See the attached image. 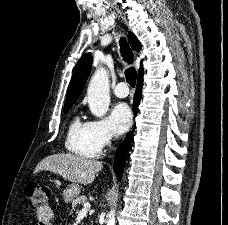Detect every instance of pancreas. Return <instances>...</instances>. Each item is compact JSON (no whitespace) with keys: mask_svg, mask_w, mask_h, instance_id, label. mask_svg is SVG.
Returning <instances> with one entry per match:
<instances>
[{"mask_svg":"<svg viewBox=\"0 0 228 225\" xmlns=\"http://www.w3.org/2000/svg\"><path fill=\"white\" fill-rule=\"evenodd\" d=\"M84 203H87V197H84V195H82V197H76V199L72 201V209L78 213L76 207H80V205H84Z\"/></svg>","mask_w":228,"mask_h":225,"instance_id":"cf45deb5","label":"pancreas"}]
</instances>
